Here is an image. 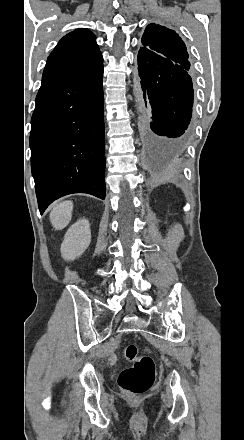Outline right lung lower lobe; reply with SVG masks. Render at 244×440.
<instances>
[{"mask_svg": "<svg viewBox=\"0 0 244 440\" xmlns=\"http://www.w3.org/2000/svg\"><path fill=\"white\" fill-rule=\"evenodd\" d=\"M103 62L42 78L31 119V168L41 214L72 193L105 199Z\"/></svg>", "mask_w": 244, "mask_h": 440, "instance_id": "right-lung-lower-lobe-1", "label": "right lung lower lobe"}]
</instances>
